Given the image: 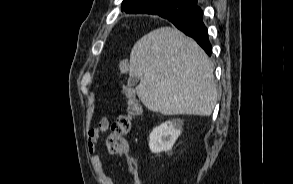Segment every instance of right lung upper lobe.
I'll list each match as a JSON object with an SVG mask.
<instances>
[{"label":"right lung upper lobe","mask_w":293,"mask_h":184,"mask_svg":"<svg viewBox=\"0 0 293 184\" xmlns=\"http://www.w3.org/2000/svg\"><path fill=\"white\" fill-rule=\"evenodd\" d=\"M196 3V0H124L122 10L129 14H153L165 18Z\"/></svg>","instance_id":"right-lung-upper-lobe-1"}]
</instances>
